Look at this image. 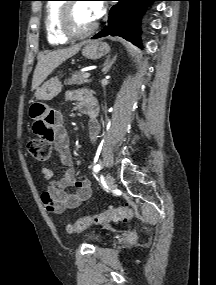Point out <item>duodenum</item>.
Instances as JSON below:
<instances>
[{"label": "duodenum", "mask_w": 216, "mask_h": 285, "mask_svg": "<svg viewBox=\"0 0 216 285\" xmlns=\"http://www.w3.org/2000/svg\"><path fill=\"white\" fill-rule=\"evenodd\" d=\"M86 114L90 117V118H94L97 114V108L94 105H91L87 108L86 110Z\"/></svg>", "instance_id": "1"}]
</instances>
